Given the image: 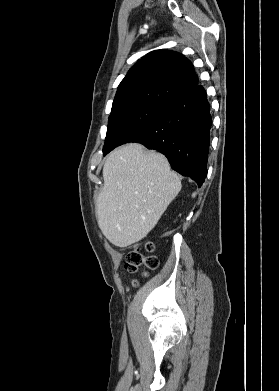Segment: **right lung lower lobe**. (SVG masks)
Wrapping results in <instances>:
<instances>
[{"mask_svg": "<svg viewBox=\"0 0 279 391\" xmlns=\"http://www.w3.org/2000/svg\"><path fill=\"white\" fill-rule=\"evenodd\" d=\"M211 124L206 91L197 85L164 104L153 121L126 143L160 151L174 170L201 187L207 175Z\"/></svg>", "mask_w": 279, "mask_h": 391, "instance_id": "98d812e1", "label": "right lung lower lobe"}]
</instances>
